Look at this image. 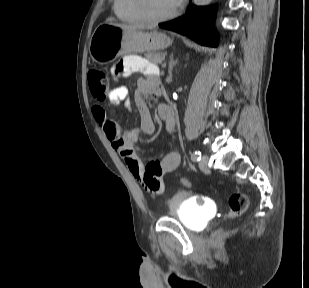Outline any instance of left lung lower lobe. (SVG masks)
Instances as JSON below:
<instances>
[{"label":"left lung lower lobe","mask_w":309,"mask_h":288,"mask_svg":"<svg viewBox=\"0 0 309 288\" xmlns=\"http://www.w3.org/2000/svg\"><path fill=\"white\" fill-rule=\"evenodd\" d=\"M214 16V7L189 5L188 10L182 17L160 23L159 27L187 35L202 45L216 47L218 35L212 30Z\"/></svg>","instance_id":"1"}]
</instances>
